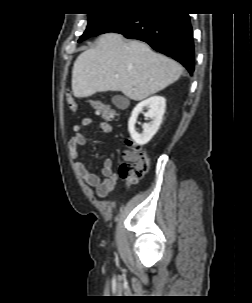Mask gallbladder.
<instances>
[{
    "label": "gallbladder",
    "mask_w": 252,
    "mask_h": 303,
    "mask_svg": "<svg viewBox=\"0 0 252 303\" xmlns=\"http://www.w3.org/2000/svg\"><path fill=\"white\" fill-rule=\"evenodd\" d=\"M112 103L120 109H123L127 106L128 99L122 95H115L112 97Z\"/></svg>",
    "instance_id": "1"
}]
</instances>
